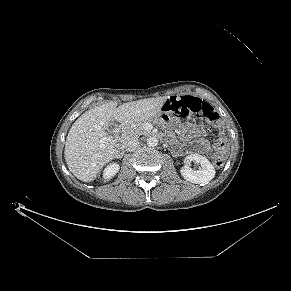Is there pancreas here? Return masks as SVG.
Returning <instances> with one entry per match:
<instances>
[{"instance_id":"pancreas-1","label":"pancreas","mask_w":291,"mask_h":291,"mask_svg":"<svg viewBox=\"0 0 291 291\" xmlns=\"http://www.w3.org/2000/svg\"><path fill=\"white\" fill-rule=\"evenodd\" d=\"M145 122L134 123L131 125H127L122 130V138L127 140L131 137L138 138L140 135L146 133L144 130Z\"/></svg>"}]
</instances>
